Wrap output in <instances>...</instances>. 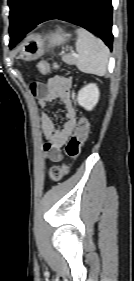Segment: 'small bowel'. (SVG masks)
I'll return each mask as SVG.
<instances>
[{
	"label": "small bowel",
	"instance_id": "c3829d8e",
	"mask_svg": "<svg viewBox=\"0 0 134 281\" xmlns=\"http://www.w3.org/2000/svg\"><path fill=\"white\" fill-rule=\"evenodd\" d=\"M33 94L41 110L40 125L46 142L43 150L45 157L52 162L63 159L62 147L76 126V111L70 92V80L62 76L51 77L45 85H33ZM56 101L65 108V121L57 124V115L52 113Z\"/></svg>",
	"mask_w": 134,
	"mask_h": 281
}]
</instances>
